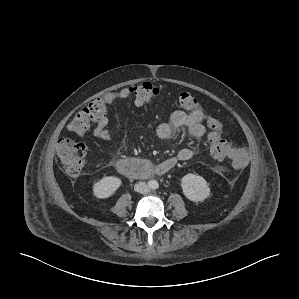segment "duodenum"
<instances>
[{
  "mask_svg": "<svg viewBox=\"0 0 299 299\" xmlns=\"http://www.w3.org/2000/svg\"><path fill=\"white\" fill-rule=\"evenodd\" d=\"M116 168L120 174L126 177L139 179L160 174V171L151 162L140 158L121 159L116 163Z\"/></svg>",
  "mask_w": 299,
  "mask_h": 299,
  "instance_id": "410a0bca",
  "label": "duodenum"
}]
</instances>
